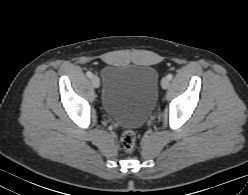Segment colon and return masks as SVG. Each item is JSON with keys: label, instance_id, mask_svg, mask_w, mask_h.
I'll list each match as a JSON object with an SVG mask.
<instances>
[{"label": "colon", "instance_id": "1", "mask_svg": "<svg viewBox=\"0 0 248 195\" xmlns=\"http://www.w3.org/2000/svg\"><path fill=\"white\" fill-rule=\"evenodd\" d=\"M122 149L126 153H132L136 145V134L132 130H126L121 136Z\"/></svg>", "mask_w": 248, "mask_h": 195}]
</instances>
